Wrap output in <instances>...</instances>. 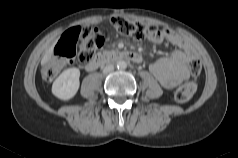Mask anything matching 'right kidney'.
<instances>
[{
	"mask_svg": "<svg viewBox=\"0 0 238 158\" xmlns=\"http://www.w3.org/2000/svg\"><path fill=\"white\" fill-rule=\"evenodd\" d=\"M80 70L69 68L64 70L52 85V93L61 100H70L79 89Z\"/></svg>",
	"mask_w": 238,
	"mask_h": 158,
	"instance_id": "ca27d5eb",
	"label": "right kidney"
}]
</instances>
